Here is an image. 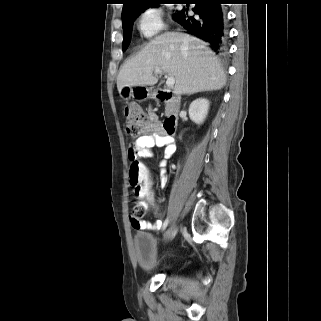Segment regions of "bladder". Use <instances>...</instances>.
<instances>
[{"instance_id": "obj_1", "label": "bladder", "mask_w": 321, "mask_h": 321, "mask_svg": "<svg viewBox=\"0 0 321 321\" xmlns=\"http://www.w3.org/2000/svg\"><path fill=\"white\" fill-rule=\"evenodd\" d=\"M133 249L139 266L147 272L157 268V238L148 232H138L133 236Z\"/></svg>"}]
</instances>
